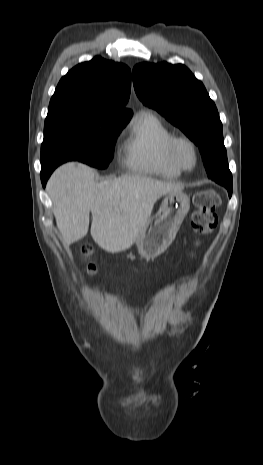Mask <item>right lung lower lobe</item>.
<instances>
[{"label":"right lung lower lobe","instance_id":"1","mask_svg":"<svg viewBox=\"0 0 263 465\" xmlns=\"http://www.w3.org/2000/svg\"><path fill=\"white\" fill-rule=\"evenodd\" d=\"M53 170H43L41 169V181L43 186H45L47 179L49 178L50 174L52 173Z\"/></svg>","mask_w":263,"mask_h":465}]
</instances>
